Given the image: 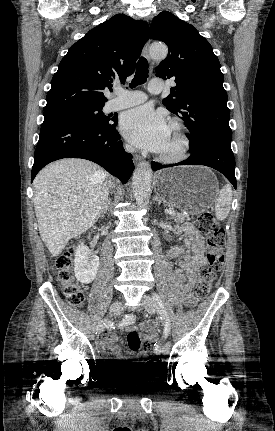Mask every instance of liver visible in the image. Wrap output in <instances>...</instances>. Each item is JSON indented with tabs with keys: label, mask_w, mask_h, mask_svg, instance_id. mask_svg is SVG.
I'll return each instance as SVG.
<instances>
[{
	"label": "liver",
	"mask_w": 275,
	"mask_h": 431,
	"mask_svg": "<svg viewBox=\"0 0 275 431\" xmlns=\"http://www.w3.org/2000/svg\"><path fill=\"white\" fill-rule=\"evenodd\" d=\"M109 175L84 159H62L34 179V209L40 236L52 256L98 220L108 199Z\"/></svg>",
	"instance_id": "liver-1"
}]
</instances>
